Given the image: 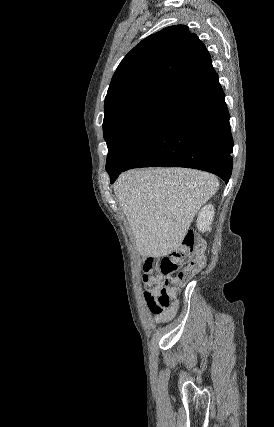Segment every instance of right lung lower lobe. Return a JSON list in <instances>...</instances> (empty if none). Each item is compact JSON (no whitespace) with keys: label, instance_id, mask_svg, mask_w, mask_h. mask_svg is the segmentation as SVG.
Segmentation results:
<instances>
[{"label":"right lung lower lobe","instance_id":"obj_1","mask_svg":"<svg viewBox=\"0 0 274 427\" xmlns=\"http://www.w3.org/2000/svg\"><path fill=\"white\" fill-rule=\"evenodd\" d=\"M232 149L229 113L216 76L177 99L131 158L106 170L111 183L127 169L155 166L204 170L227 183Z\"/></svg>","mask_w":274,"mask_h":427}]
</instances>
